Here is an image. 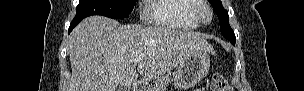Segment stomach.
Wrapping results in <instances>:
<instances>
[{"mask_svg": "<svg viewBox=\"0 0 304 91\" xmlns=\"http://www.w3.org/2000/svg\"><path fill=\"white\" fill-rule=\"evenodd\" d=\"M210 68L208 51L194 50L190 52L180 63L174 76V86L177 89L186 90L195 86L204 78Z\"/></svg>", "mask_w": 304, "mask_h": 91, "instance_id": "1", "label": "stomach"}]
</instances>
